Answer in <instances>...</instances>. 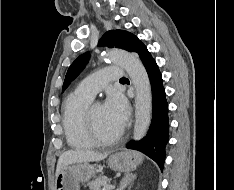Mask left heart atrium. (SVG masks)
Segmentation results:
<instances>
[{"label":"left heart atrium","instance_id":"left-heart-atrium-1","mask_svg":"<svg viewBox=\"0 0 234 190\" xmlns=\"http://www.w3.org/2000/svg\"><path fill=\"white\" fill-rule=\"evenodd\" d=\"M104 108L109 117L119 127H122L126 123L129 109L125 98L121 94L111 92L104 103Z\"/></svg>","mask_w":234,"mask_h":190}]
</instances>
